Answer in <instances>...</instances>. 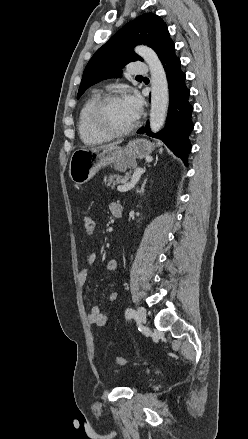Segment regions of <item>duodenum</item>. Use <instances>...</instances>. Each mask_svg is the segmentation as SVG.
I'll list each match as a JSON object with an SVG mask.
<instances>
[{"mask_svg": "<svg viewBox=\"0 0 248 439\" xmlns=\"http://www.w3.org/2000/svg\"><path fill=\"white\" fill-rule=\"evenodd\" d=\"M113 216L115 217V218H121L122 217V208H121V206H117L115 209H114V211H113Z\"/></svg>", "mask_w": 248, "mask_h": 439, "instance_id": "410a0bca", "label": "duodenum"}]
</instances>
